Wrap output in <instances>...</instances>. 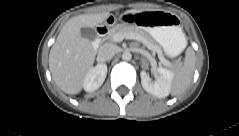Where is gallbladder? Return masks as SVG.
Masks as SVG:
<instances>
[{
  "label": "gallbladder",
  "instance_id": "bac80fb5",
  "mask_svg": "<svg viewBox=\"0 0 239 136\" xmlns=\"http://www.w3.org/2000/svg\"><path fill=\"white\" fill-rule=\"evenodd\" d=\"M80 32L81 36L89 41H93L96 38V32L93 28L83 27Z\"/></svg>",
  "mask_w": 239,
  "mask_h": 136
}]
</instances>
